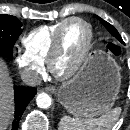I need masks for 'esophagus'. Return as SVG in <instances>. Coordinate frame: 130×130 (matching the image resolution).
I'll return each instance as SVG.
<instances>
[{
  "instance_id": "esophagus-1",
  "label": "esophagus",
  "mask_w": 130,
  "mask_h": 130,
  "mask_svg": "<svg viewBox=\"0 0 130 130\" xmlns=\"http://www.w3.org/2000/svg\"><path fill=\"white\" fill-rule=\"evenodd\" d=\"M44 90L46 92H49V93H55L56 92V88L54 86H47L44 88Z\"/></svg>"
}]
</instances>
